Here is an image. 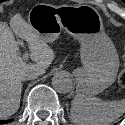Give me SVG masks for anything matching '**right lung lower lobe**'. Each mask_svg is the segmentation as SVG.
I'll list each match as a JSON object with an SVG mask.
<instances>
[{"mask_svg":"<svg viewBox=\"0 0 125 125\" xmlns=\"http://www.w3.org/2000/svg\"><path fill=\"white\" fill-rule=\"evenodd\" d=\"M11 121H13V119H11V120H1L0 123H8V122H11Z\"/></svg>","mask_w":125,"mask_h":125,"instance_id":"obj_1","label":"right lung lower lobe"}]
</instances>
